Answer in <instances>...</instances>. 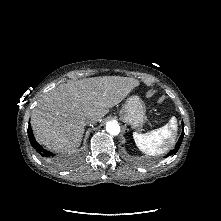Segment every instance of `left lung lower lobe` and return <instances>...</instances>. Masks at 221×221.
I'll return each mask as SVG.
<instances>
[{
    "label": "left lung lower lobe",
    "instance_id": "1",
    "mask_svg": "<svg viewBox=\"0 0 221 221\" xmlns=\"http://www.w3.org/2000/svg\"><path fill=\"white\" fill-rule=\"evenodd\" d=\"M182 126H183V131H182V134H181V136H180V138H179V141H178L177 144L175 145V148H174L173 150H171V151L167 154L166 157L175 154V153L178 151V149L180 148L181 143H182V140H183V137H184V123H183V122H182Z\"/></svg>",
    "mask_w": 221,
    "mask_h": 221
}]
</instances>
